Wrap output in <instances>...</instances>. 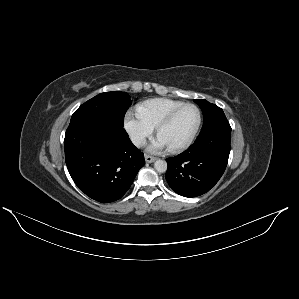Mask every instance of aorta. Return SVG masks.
<instances>
[{
	"mask_svg": "<svg viewBox=\"0 0 299 299\" xmlns=\"http://www.w3.org/2000/svg\"><path fill=\"white\" fill-rule=\"evenodd\" d=\"M154 168L157 172L164 173L167 170V163L164 160H157L154 163Z\"/></svg>",
	"mask_w": 299,
	"mask_h": 299,
	"instance_id": "762f6f07",
	"label": "aorta"
}]
</instances>
